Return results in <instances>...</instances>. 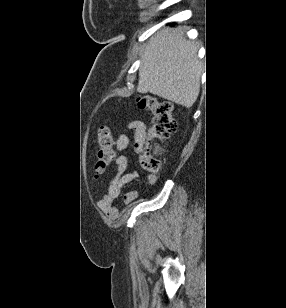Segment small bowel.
Masks as SVG:
<instances>
[{"label":"small bowel","mask_w":286,"mask_h":308,"mask_svg":"<svg viewBox=\"0 0 286 308\" xmlns=\"http://www.w3.org/2000/svg\"><path fill=\"white\" fill-rule=\"evenodd\" d=\"M131 132L133 133V141L135 150H140L145 137H146V127L142 121H133L128 127L120 134L117 141V149L119 151L126 150L131 142ZM115 165L117 167V172L110 181L106 198L101 202V207L110 217L117 215V208H115L112 203L118 198L122 188L131 180L138 177V172L132 170L127 172L128 160L124 155H119L115 160ZM151 183L155 182L154 178H149ZM136 193L130 191L125 194L124 201L130 203L135 199Z\"/></svg>","instance_id":"1"}]
</instances>
